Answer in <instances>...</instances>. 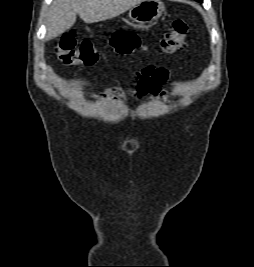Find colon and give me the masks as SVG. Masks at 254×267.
Returning a JSON list of instances; mask_svg holds the SVG:
<instances>
[{"mask_svg":"<svg viewBox=\"0 0 254 267\" xmlns=\"http://www.w3.org/2000/svg\"><path fill=\"white\" fill-rule=\"evenodd\" d=\"M188 23L183 19H177L158 44L159 52L173 54L181 51L186 46ZM108 44L118 54H131L144 48L140 38L130 32H117L109 40ZM56 52L64 66H90L97 62L99 51L95 44L88 40L78 42L76 34L72 31L64 33L57 46Z\"/></svg>","mask_w":254,"mask_h":267,"instance_id":"1","label":"colon"}]
</instances>
